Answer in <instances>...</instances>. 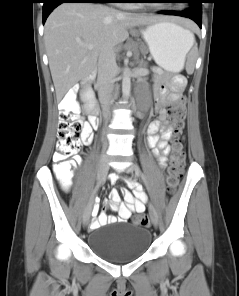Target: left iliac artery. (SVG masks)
<instances>
[{"instance_id": "44dca946", "label": "left iliac artery", "mask_w": 239, "mask_h": 296, "mask_svg": "<svg viewBox=\"0 0 239 296\" xmlns=\"http://www.w3.org/2000/svg\"><path fill=\"white\" fill-rule=\"evenodd\" d=\"M136 170H137V172L138 173H140V175H141V177H142V180H143V184L145 185L147 182L145 181V177H144V175L141 173V171H140V168L136 165ZM142 188V187H141ZM144 193V192H143Z\"/></svg>"}]
</instances>
